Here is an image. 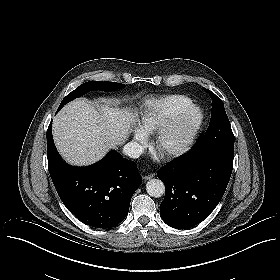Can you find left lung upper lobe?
I'll return each instance as SVG.
<instances>
[{
	"mask_svg": "<svg viewBox=\"0 0 280 280\" xmlns=\"http://www.w3.org/2000/svg\"><path fill=\"white\" fill-rule=\"evenodd\" d=\"M206 91L213 99L209 127L190 152L220 151L234 154V135L223 102L210 90Z\"/></svg>",
	"mask_w": 280,
	"mask_h": 280,
	"instance_id": "1",
	"label": "left lung upper lobe"
}]
</instances>
